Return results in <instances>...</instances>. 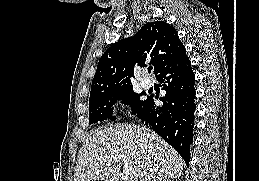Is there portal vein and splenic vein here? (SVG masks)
<instances>
[{
    "instance_id": "18ae733b",
    "label": "portal vein and splenic vein",
    "mask_w": 259,
    "mask_h": 181,
    "mask_svg": "<svg viewBox=\"0 0 259 181\" xmlns=\"http://www.w3.org/2000/svg\"><path fill=\"white\" fill-rule=\"evenodd\" d=\"M118 158L123 159V157H118ZM131 173H132V168H129L127 165H125L124 168H123V175L126 178H129L131 176Z\"/></svg>"
}]
</instances>
